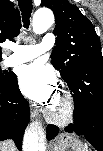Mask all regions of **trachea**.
Segmentation results:
<instances>
[{"label":"trachea","instance_id":"trachea-1","mask_svg":"<svg viewBox=\"0 0 103 151\" xmlns=\"http://www.w3.org/2000/svg\"><path fill=\"white\" fill-rule=\"evenodd\" d=\"M18 2H19L20 10L22 12L24 27L28 28L30 24L29 19L33 9L32 0H18Z\"/></svg>","mask_w":103,"mask_h":151}]
</instances>
